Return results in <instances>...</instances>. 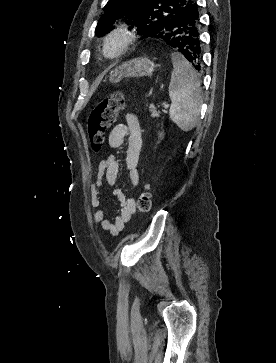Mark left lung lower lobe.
Listing matches in <instances>:
<instances>
[{
  "label": "left lung lower lobe",
  "instance_id": "obj_1",
  "mask_svg": "<svg viewBox=\"0 0 276 363\" xmlns=\"http://www.w3.org/2000/svg\"><path fill=\"white\" fill-rule=\"evenodd\" d=\"M159 38L184 55L195 71L201 70L200 22L195 2L181 9L173 21L172 30Z\"/></svg>",
  "mask_w": 276,
  "mask_h": 363
}]
</instances>
